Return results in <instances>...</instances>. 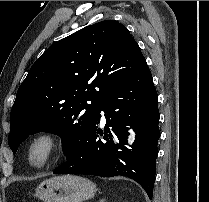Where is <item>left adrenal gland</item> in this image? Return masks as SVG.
I'll list each match as a JSON object with an SVG mask.
<instances>
[{"label":"left adrenal gland","mask_w":209,"mask_h":202,"mask_svg":"<svg viewBox=\"0 0 209 202\" xmlns=\"http://www.w3.org/2000/svg\"><path fill=\"white\" fill-rule=\"evenodd\" d=\"M99 202H105V199L100 200Z\"/></svg>","instance_id":"left-adrenal-gland-1"}]
</instances>
